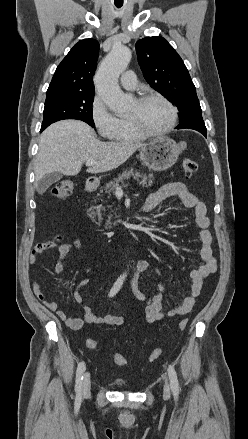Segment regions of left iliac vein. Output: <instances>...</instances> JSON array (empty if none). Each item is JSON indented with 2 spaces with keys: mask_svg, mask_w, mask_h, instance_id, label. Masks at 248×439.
I'll list each match as a JSON object with an SVG mask.
<instances>
[{
  "mask_svg": "<svg viewBox=\"0 0 248 439\" xmlns=\"http://www.w3.org/2000/svg\"><path fill=\"white\" fill-rule=\"evenodd\" d=\"M164 395L168 398L170 396V385L168 383L167 378L164 381Z\"/></svg>",
  "mask_w": 248,
  "mask_h": 439,
  "instance_id": "1",
  "label": "left iliac vein"
}]
</instances>
